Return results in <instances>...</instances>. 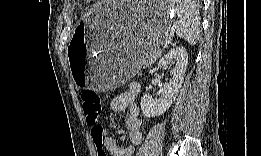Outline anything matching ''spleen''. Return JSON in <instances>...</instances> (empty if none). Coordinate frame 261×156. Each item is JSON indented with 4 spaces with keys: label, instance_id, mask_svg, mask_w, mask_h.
Returning <instances> with one entry per match:
<instances>
[{
    "label": "spleen",
    "instance_id": "3e777b00",
    "mask_svg": "<svg viewBox=\"0 0 261 156\" xmlns=\"http://www.w3.org/2000/svg\"><path fill=\"white\" fill-rule=\"evenodd\" d=\"M175 12L178 17L174 29L178 37L185 39L189 44L195 45L199 37V13L194 3L182 0L176 3ZM170 9H173L170 6Z\"/></svg>",
    "mask_w": 261,
    "mask_h": 156
}]
</instances>
